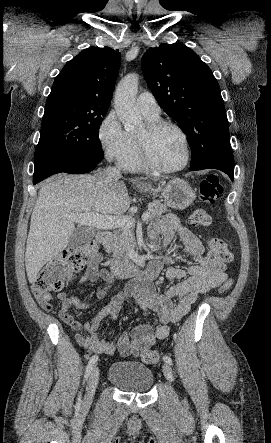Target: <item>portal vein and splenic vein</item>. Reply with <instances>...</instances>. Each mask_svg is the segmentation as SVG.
<instances>
[{
	"label": "portal vein and splenic vein",
	"mask_w": 271,
	"mask_h": 443,
	"mask_svg": "<svg viewBox=\"0 0 271 443\" xmlns=\"http://www.w3.org/2000/svg\"><path fill=\"white\" fill-rule=\"evenodd\" d=\"M73 222L79 223V225H92V227H98V229H111V227H133L135 225L131 216H110L105 218L101 214H77V216H71ZM150 218V212L143 214V222H147Z\"/></svg>",
	"instance_id": "1"
}]
</instances>
